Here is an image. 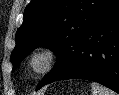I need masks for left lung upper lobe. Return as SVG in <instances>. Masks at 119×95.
Segmentation results:
<instances>
[{
	"instance_id": "obj_1",
	"label": "left lung upper lobe",
	"mask_w": 119,
	"mask_h": 95,
	"mask_svg": "<svg viewBox=\"0 0 119 95\" xmlns=\"http://www.w3.org/2000/svg\"><path fill=\"white\" fill-rule=\"evenodd\" d=\"M115 0H32L24 11V20L16 33L11 54L13 68L36 47L52 49L57 61L37 90L51 78L65 72L75 60L77 45L92 23Z\"/></svg>"
}]
</instances>
